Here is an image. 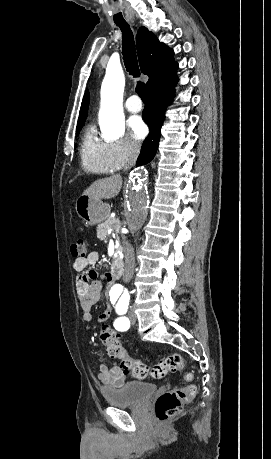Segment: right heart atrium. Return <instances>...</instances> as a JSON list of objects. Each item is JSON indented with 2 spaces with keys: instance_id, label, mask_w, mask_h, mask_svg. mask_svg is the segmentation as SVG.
<instances>
[{
  "instance_id": "d8ad5b80",
  "label": "right heart atrium",
  "mask_w": 271,
  "mask_h": 459,
  "mask_svg": "<svg viewBox=\"0 0 271 459\" xmlns=\"http://www.w3.org/2000/svg\"><path fill=\"white\" fill-rule=\"evenodd\" d=\"M141 146L129 136H125L111 143V155L116 164L124 166L137 160Z\"/></svg>"
}]
</instances>
